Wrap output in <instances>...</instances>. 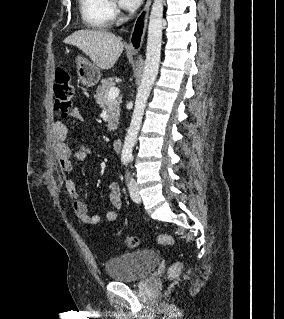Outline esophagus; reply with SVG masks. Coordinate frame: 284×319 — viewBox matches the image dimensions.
I'll return each instance as SVG.
<instances>
[{"label": "esophagus", "instance_id": "obj_1", "mask_svg": "<svg viewBox=\"0 0 284 319\" xmlns=\"http://www.w3.org/2000/svg\"><path fill=\"white\" fill-rule=\"evenodd\" d=\"M152 0H147L143 9L137 16L132 31L129 39V44L127 46V50L131 52H138L140 51L145 32H146V27H147V20H148V14H149V9L151 5Z\"/></svg>", "mask_w": 284, "mask_h": 319}]
</instances>
